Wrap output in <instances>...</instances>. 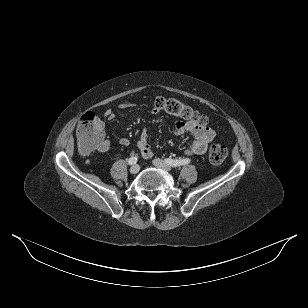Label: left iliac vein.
Returning <instances> with one entry per match:
<instances>
[{"label": "left iliac vein", "mask_w": 308, "mask_h": 308, "mask_svg": "<svg viewBox=\"0 0 308 308\" xmlns=\"http://www.w3.org/2000/svg\"><path fill=\"white\" fill-rule=\"evenodd\" d=\"M153 165L157 168H160L162 170H165V171H171L172 168L170 165H168L166 162H164L163 160L159 159V158H156L153 160Z\"/></svg>", "instance_id": "4c4485c4"}]
</instances>
